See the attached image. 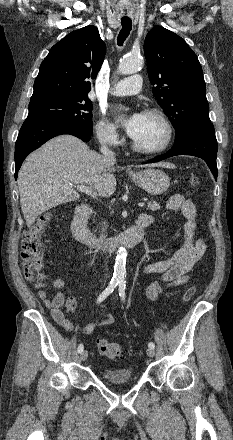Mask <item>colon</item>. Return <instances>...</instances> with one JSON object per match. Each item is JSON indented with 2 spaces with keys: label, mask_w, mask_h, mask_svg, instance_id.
<instances>
[{
  "label": "colon",
  "mask_w": 233,
  "mask_h": 440,
  "mask_svg": "<svg viewBox=\"0 0 233 440\" xmlns=\"http://www.w3.org/2000/svg\"><path fill=\"white\" fill-rule=\"evenodd\" d=\"M188 182L191 186L196 187L200 184V179L197 175L192 174ZM51 220V214L44 213L23 234L21 246L22 267L25 278L30 281H45L43 273L45 245L41 237L50 225ZM195 292L196 287L190 286L183 294V301L188 302L191 300ZM96 344L100 355L106 358L123 359L131 355L130 351L124 350L118 343L113 341L98 339Z\"/></svg>",
  "instance_id": "obj_1"
}]
</instances>
